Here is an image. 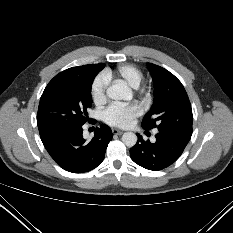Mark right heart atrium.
Listing matches in <instances>:
<instances>
[{"label": "right heart atrium", "mask_w": 233, "mask_h": 233, "mask_svg": "<svg viewBox=\"0 0 233 233\" xmlns=\"http://www.w3.org/2000/svg\"><path fill=\"white\" fill-rule=\"evenodd\" d=\"M109 78L105 72L97 75L91 83L90 94L96 105H103L107 100L106 90Z\"/></svg>", "instance_id": "1"}]
</instances>
